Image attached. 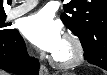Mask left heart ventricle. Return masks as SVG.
I'll return each instance as SVG.
<instances>
[{
  "instance_id": "1",
  "label": "left heart ventricle",
  "mask_w": 107,
  "mask_h": 75,
  "mask_svg": "<svg viewBox=\"0 0 107 75\" xmlns=\"http://www.w3.org/2000/svg\"><path fill=\"white\" fill-rule=\"evenodd\" d=\"M54 55L57 56L59 59H67L71 56V48L65 39H63L61 46L54 53Z\"/></svg>"
}]
</instances>
